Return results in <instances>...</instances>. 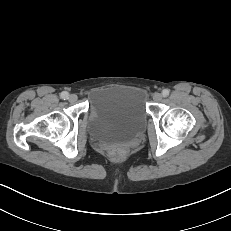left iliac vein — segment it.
<instances>
[{
    "label": "left iliac vein",
    "instance_id": "obj_1",
    "mask_svg": "<svg viewBox=\"0 0 231 231\" xmlns=\"http://www.w3.org/2000/svg\"><path fill=\"white\" fill-rule=\"evenodd\" d=\"M152 98L155 102H160L162 100L163 96L161 93L156 92L153 94Z\"/></svg>",
    "mask_w": 231,
    "mask_h": 231
}]
</instances>
